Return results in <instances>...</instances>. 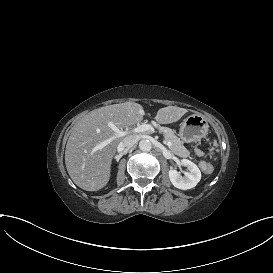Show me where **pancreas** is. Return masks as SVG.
<instances>
[{"instance_id": "obj_1", "label": "pancreas", "mask_w": 273, "mask_h": 273, "mask_svg": "<svg viewBox=\"0 0 273 273\" xmlns=\"http://www.w3.org/2000/svg\"><path fill=\"white\" fill-rule=\"evenodd\" d=\"M159 132L164 134V138L171 140L172 144L169 146V149L177 156L187 158L190 155V152L184 147L180 139L176 137L173 131L169 128L160 127Z\"/></svg>"}]
</instances>
